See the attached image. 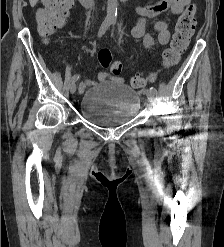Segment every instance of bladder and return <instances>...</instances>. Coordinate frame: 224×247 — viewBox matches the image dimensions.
I'll use <instances>...</instances> for the list:
<instances>
[{"instance_id":"bladder-1","label":"bladder","mask_w":224,"mask_h":247,"mask_svg":"<svg viewBox=\"0 0 224 247\" xmlns=\"http://www.w3.org/2000/svg\"><path fill=\"white\" fill-rule=\"evenodd\" d=\"M140 108L139 95L117 81H102L88 88L79 103V113L88 122L112 128L131 121Z\"/></svg>"}]
</instances>
